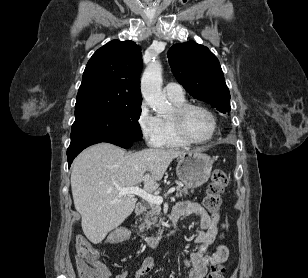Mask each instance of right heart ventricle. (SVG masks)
<instances>
[{
  "label": "right heart ventricle",
  "instance_id": "obj_1",
  "mask_svg": "<svg viewBox=\"0 0 308 278\" xmlns=\"http://www.w3.org/2000/svg\"><path fill=\"white\" fill-rule=\"evenodd\" d=\"M170 102L176 107L183 105L186 103L185 98L182 99H171ZM162 132H163V140L161 146L168 148H177V147H185L188 145L185 141H183L175 132L170 119L168 117L160 118Z\"/></svg>",
  "mask_w": 308,
  "mask_h": 278
}]
</instances>
